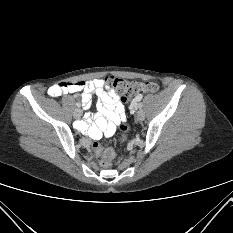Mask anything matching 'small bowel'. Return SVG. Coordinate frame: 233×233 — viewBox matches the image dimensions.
Segmentation results:
<instances>
[{
  "label": "small bowel",
  "mask_w": 233,
  "mask_h": 233,
  "mask_svg": "<svg viewBox=\"0 0 233 233\" xmlns=\"http://www.w3.org/2000/svg\"><path fill=\"white\" fill-rule=\"evenodd\" d=\"M80 91L82 92V105L86 110L91 107L92 95L97 96L96 107L98 112L95 114L88 113L85 120L79 122L76 128L94 139L112 136L118 126L126 121V114L122 100L113 90H107L104 80L61 82L52 85L48 89V94L51 97H59ZM138 96H142V94Z\"/></svg>",
  "instance_id": "small-bowel-1"
}]
</instances>
